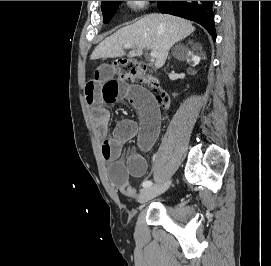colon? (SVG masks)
I'll use <instances>...</instances> for the list:
<instances>
[{
	"label": "colon",
	"instance_id": "obj_1",
	"mask_svg": "<svg viewBox=\"0 0 271 266\" xmlns=\"http://www.w3.org/2000/svg\"><path fill=\"white\" fill-rule=\"evenodd\" d=\"M113 71L120 79L134 80L145 74V66L134 59L120 58L113 63ZM149 82L154 91L157 92L158 103L163 107L168 106L169 98L167 94L160 89L158 82L154 79L149 80Z\"/></svg>",
	"mask_w": 271,
	"mask_h": 266
}]
</instances>
